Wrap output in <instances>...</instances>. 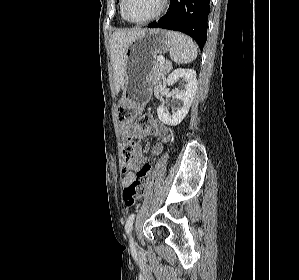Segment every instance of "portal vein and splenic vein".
<instances>
[{
  "label": "portal vein and splenic vein",
  "instance_id": "obj_1",
  "mask_svg": "<svg viewBox=\"0 0 299 280\" xmlns=\"http://www.w3.org/2000/svg\"><path fill=\"white\" fill-rule=\"evenodd\" d=\"M157 60H158L162 65L165 64V59H164V57H158Z\"/></svg>",
  "mask_w": 299,
  "mask_h": 280
}]
</instances>
